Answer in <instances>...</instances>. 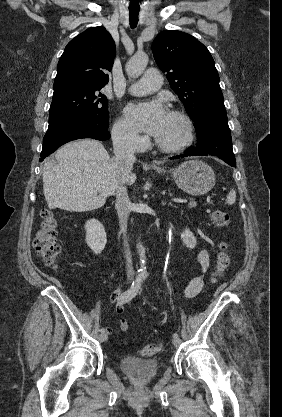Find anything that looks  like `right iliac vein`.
Instances as JSON below:
<instances>
[{"label":"right iliac vein","mask_w":282,"mask_h":417,"mask_svg":"<svg viewBox=\"0 0 282 417\" xmlns=\"http://www.w3.org/2000/svg\"><path fill=\"white\" fill-rule=\"evenodd\" d=\"M99 340H100L101 342L106 341V340H107V334H106V333H101V334H100V337H99Z\"/></svg>","instance_id":"63e3f726"}]
</instances>
